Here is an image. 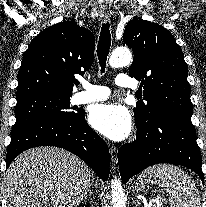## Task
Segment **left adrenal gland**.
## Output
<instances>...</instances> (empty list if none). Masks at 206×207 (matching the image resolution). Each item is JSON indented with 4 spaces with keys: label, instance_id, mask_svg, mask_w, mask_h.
<instances>
[{
    "label": "left adrenal gland",
    "instance_id": "a2214340",
    "mask_svg": "<svg viewBox=\"0 0 206 207\" xmlns=\"http://www.w3.org/2000/svg\"><path fill=\"white\" fill-rule=\"evenodd\" d=\"M134 204H135V207H138L139 206V202L137 199L134 200Z\"/></svg>",
    "mask_w": 206,
    "mask_h": 207
}]
</instances>
